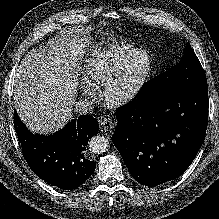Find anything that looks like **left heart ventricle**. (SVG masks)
<instances>
[{
  "label": "left heart ventricle",
  "instance_id": "1",
  "mask_svg": "<svg viewBox=\"0 0 219 219\" xmlns=\"http://www.w3.org/2000/svg\"><path fill=\"white\" fill-rule=\"evenodd\" d=\"M147 66V59L143 56L138 57L129 63L121 72L116 83V92L124 93L129 91L139 80Z\"/></svg>",
  "mask_w": 219,
  "mask_h": 219
}]
</instances>
